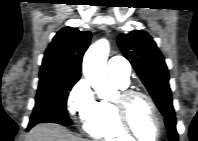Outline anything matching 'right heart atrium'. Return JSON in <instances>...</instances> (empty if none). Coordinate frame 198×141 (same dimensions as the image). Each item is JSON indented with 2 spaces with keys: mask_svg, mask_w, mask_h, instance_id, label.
<instances>
[{
  "mask_svg": "<svg viewBox=\"0 0 198 141\" xmlns=\"http://www.w3.org/2000/svg\"><path fill=\"white\" fill-rule=\"evenodd\" d=\"M97 100L85 78L80 79L69 91L67 110L78 121L86 122L96 108Z\"/></svg>",
  "mask_w": 198,
  "mask_h": 141,
  "instance_id": "right-heart-atrium-1",
  "label": "right heart atrium"
}]
</instances>
